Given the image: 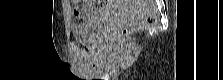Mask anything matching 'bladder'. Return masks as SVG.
Here are the masks:
<instances>
[{
	"label": "bladder",
	"mask_w": 223,
	"mask_h": 80,
	"mask_svg": "<svg viewBox=\"0 0 223 80\" xmlns=\"http://www.w3.org/2000/svg\"><path fill=\"white\" fill-rule=\"evenodd\" d=\"M113 10L114 8L111 7L98 19L73 24L71 26L72 36L79 41H96L102 32L104 22L113 14Z\"/></svg>",
	"instance_id": "31cf9c89"
}]
</instances>
